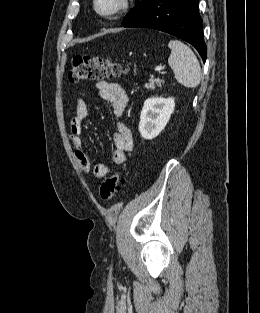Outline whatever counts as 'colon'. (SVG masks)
Returning <instances> with one entry per match:
<instances>
[{
    "instance_id": "obj_1",
    "label": "colon",
    "mask_w": 260,
    "mask_h": 313,
    "mask_svg": "<svg viewBox=\"0 0 260 313\" xmlns=\"http://www.w3.org/2000/svg\"><path fill=\"white\" fill-rule=\"evenodd\" d=\"M125 72V68L117 62L103 60L99 57L75 56L71 62L68 79L72 83L86 80H101L115 78ZM126 175L120 172L112 173L100 186L99 194L102 201H110Z\"/></svg>"
}]
</instances>
